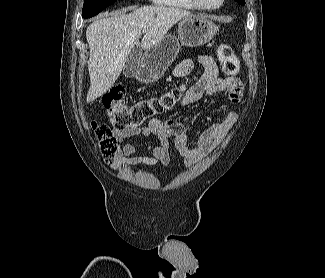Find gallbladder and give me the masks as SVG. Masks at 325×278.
Returning a JSON list of instances; mask_svg holds the SVG:
<instances>
[{"label": "gallbladder", "instance_id": "bac80fb5", "mask_svg": "<svg viewBox=\"0 0 325 278\" xmlns=\"http://www.w3.org/2000/svg\"><path fill=\"white\" fill-rule=\"evenodd\" d=\"M142 56V49L141 47L139 46H135L126 62H125V66H124V69H123V74L126 76V77H135L137 72H138V69H139V63H140V58Z\"/></svg>", "mask_w": 325, "mask_h": 278}]
</instances>
